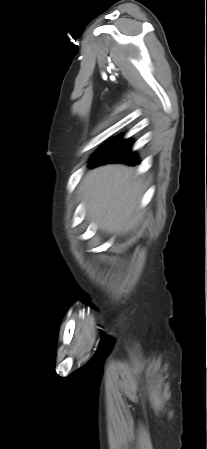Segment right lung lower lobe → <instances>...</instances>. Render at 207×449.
<instances>
[{"instance_id": "obj_1", "label": "right lung lower lobe", "mask_w": 207, "mask_h": 449, "mask_svg": "<svg viewBox=\"0 0 207 449\" xmlns=\"http://www.w3.org/2000/svg\"><path fill=\"white\" fill-rule=\"evenodd\" d=\"M132 144L130 139L121 140V137L114 139L93 158L89 167L93 168L110 162H122L130 165L138 164L135 154L131 152Z\"/></svg>"}]
</instances>
